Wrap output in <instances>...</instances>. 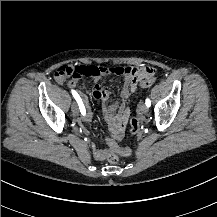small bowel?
Listing matches in <instances>:
<instances>
[{
	"instance_id": "c3829d8e",
	"label": "small bowel",
	"mask_w": 217,
	"mask_h": 217,
	"mask_svg": "<svg viewBox=\"0 0 217 217\" xmlns=\"http://www.w3.org/2000/svg\"><path fill=\"white\" fill-rule=\"evenodd\" d=\"M59 83L66 82L65 79H58ZM68 83L71 86H75L77 84V80H70ZM138 84L140 86L145 87L148 86L146 83L145 76H133L127 75L123 84V87L120 92V97L122 99V103L119 106V109L116 110V106L107 105V97L108 92L103 87L99 85H95L92 89V97L100 101L104 106V113L106 115L107 122L109 123V131L113 134L114 142L120 140L123 136L124 130L130 118V108L127 105V100L131 94L137 89ZM93 115L91 112H88L85 116L79 115L76 119L78 124H82L84 121H90ZM92 155L96 160H103L109 152L107 149L101 148L97 143L93 142L90 145Z\"/></svg>"
}]
</instances>
